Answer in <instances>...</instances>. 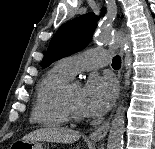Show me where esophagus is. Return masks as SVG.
Masks as SVG:
<instances>
[{"label":"esophagus","instance_id":"1","mask_svg":"<svg viewBox=\"0 0 155 149\" xmlns=\"http://www.w3.org/2000/svg\"><path fill=\"white\" fill-rule=\"evenodd\" d=\"M123 45H124V40H122L121 47H120V53H121L122 56L124 54ZM109 127H110V120L106 121L101 126H99L96 130H94L89 135V139L91 141H93V142H100V141H102L105 138V136L107 135Z\"/></svg>","mask_w":155,"mask_h":149}]
</instances>
